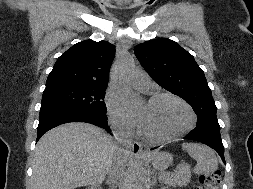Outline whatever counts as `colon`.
<instances>
[{
	"mask_svg": "<svg viewBox=\"0 0 253 189\" xmlns=\"http://www.w3.org/2000/svg\"><path fill=\"white\" fill-rule=\"evenodd\" d=\"M220 182V171L204 173L199 177V186L197 189H218Z\"/></svg>",
	"mask_w": 253,
	"mask_h": 189,
	"instance_id": "obj_1",
	"label": "colon"
}]
</instances>
